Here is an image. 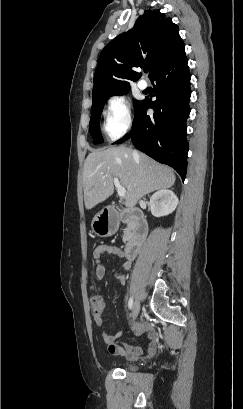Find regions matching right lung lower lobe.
I'll return each mask as SVG.
<instances>
[{"instance_id":"1","label":"right lung lower lobe","mask_w":243,"mask_h":409,"mask_svg":"<svg viewBox=\"0 0 243 409\" xmlns=\"http://www.w3.org/2000/svg\"><path fill=\"white\" fill-rule=\"evenodd\" d=\"M182 46L168 61L161 65L150 79L155 82L153 102L145 99L135 110L131 132L122 143L131 137L134 146L156 161L173 167L186 177L188 143L186 119L190 113V72ZM152 108L154 114L147 115Z\"/></svg>"}]
</instances>
